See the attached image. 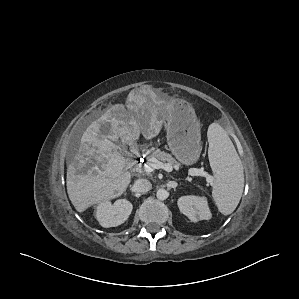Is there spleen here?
<instances>
[{"mask_svg":"<svg viewBox=\"0 0 299 299\" xmlns=\"http://www.w3.org/2000/svg\"><path fill=\"white\" fill-rule=\"evenodd\" d=\"M207 137L210 166L215 173L213 199L218 210L229 215L236 209L243 193L242 162L228 134L218 123L209 125Z\"/></svg>","mask_w":299,"mask_h":299,"instance_id":"1","label":"spleen"}]
</instances>
